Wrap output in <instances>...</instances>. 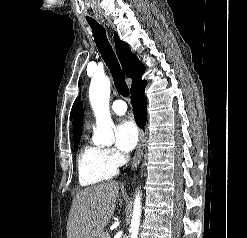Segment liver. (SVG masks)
<instances>
[{"label":"liver","mask_w":247,"mask_h":238,"mask_svg":"<svg viewBox=\"0 0 247 238\" xmlns=\"http://www.w3.org/2000/svg\"><path fill=\"white\" fill-rule=\"evenodd\" d=\"M119 184L115 181L85 188L73 199L67 223V238H100L110 221Z\"/></svg>","instance_id":"6515ba94"}]
</instances>
